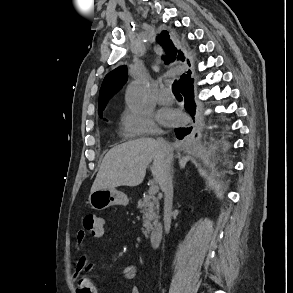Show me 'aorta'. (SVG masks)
Wrapping results in <instances>:
<instances>
[{"mask_svg": "<svg viewBox=\"0 0 293 293\" xmlns=\"http://www.w3.org/2000/svg\"><path fill=\"white\" fill-rule=\"evenodd\" d=\"M146 95V84L138 79L132 82L127 89V103L133 109H141L144 105Z\"/></svg>", "mask_w": 293, "mask_h": 293, "instance_id": "1", "label": "aorta"}]
</instances>
